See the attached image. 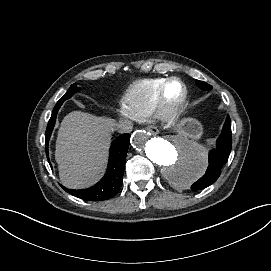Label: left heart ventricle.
Listing matches in <instances>:
<instances>
[{
	"label": "left heart ventricle",
	"instance_id": "obj_1",
	"mask_svg": "<svg viewBox=\"0 0 271 271\" xmlns=\"http://www.w3.org/2000/svg\"><path fill=\"white\" fill-rule=\"evenodd\" d=\"M183 87L180 83L175 82L170 86L169 92L172 96H178L182 93Z\"/></svg>",
	"mask_w": 271,
	"mask_h": 271
}]
</instances>
